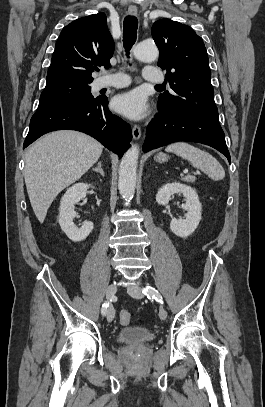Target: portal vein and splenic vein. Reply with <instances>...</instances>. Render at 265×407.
Masks as SVG:
<instances>
[{
  "instance_id": "1",
  "label": "portal vein and splenic vein",
  "mask_w": 265,
  "mask_h": 407,
  "mask_svg": "<svg viewBox=\"0 0 265 407\" xmlns=\"http://www.w3.org/2000/svg\"><path fill=\"white\" fill-rule=\"evenodd\" d=\"M183 172H184V173H188V170H187V169H185ZM197 174H200V172H199V171H197Z\"/></svg>"
}]
</instances>
